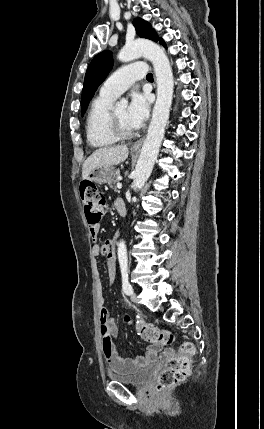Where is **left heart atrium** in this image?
<instances>
[{
  "label": "left heart atrium",
  "mask_w": 264,
  "mask_h": 429,
  "mask_svg": "<svg viewBox=\"0 0 264 429\" xmlns=\"http://www.w3.org/2000/svg\"><path fill=\"white\" fill-rule=\"evenodd\" d=\"M149 110L150 100L148 95L139 92L133 93L127 108V118L135 129L146 121L149 116Z\"/></svg>",
  "instance_id": "left-heart-atrium-1"
}]
</instances>
